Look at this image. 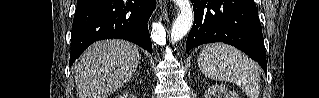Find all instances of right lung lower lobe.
<instances>
[{
	"instance_id": "obj_1",
	"label": "right lung lower lobe",
	"mask_w": 319,
	"mask_h": 98,
	"mask_svg": "<svg viewBox=\"0 0 319 98\" xmlns=\"http://www.w3.org/2000/svg\"><path fill=\"white\" fill-rule=\"evenodd\" d=\"M156 0H78L71 34L70 63L93 42L125 39L152 54L148 20Z\"/></svg>"
}]
</instances>
